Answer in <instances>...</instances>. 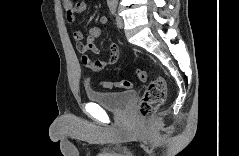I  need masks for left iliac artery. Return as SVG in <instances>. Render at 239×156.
I'll list each match as a JSON object with an SVG mask.
<instances>
[{
  "label": "left iliac artery",
  "instance_id": "1",
  "mask_svg": "<svg viewBox=\"0 0 239 156\" xmlns=\"http://www.w3.org/2000/svg\"><path fill=\"white\" fill-rule=\"evenodd\" d=\"M116 7H117V4L116 3H110L109 4V8H110V11L112 14H115L116 12Z\"/></svg>",
  "mask_w": 239,
  "mask_h": 156
}]
</instances>
